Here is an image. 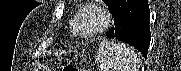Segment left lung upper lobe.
<instances>
[{"label": "left lung upper lobe", "mask_w": 181, "mask_h": 71, "mask_svg": "<svg viewBox=\"0 0 181 71\" xmlns=\"http://www.w3.org/2000/svg\"><path fill=\"white\" fill-rule=\"evenodd\" d=\"M116 0H104V2L108 5L109 10L111 9L112 5L115 3Z\"/></svg>", "instance_id": "1"}]
</instances>
